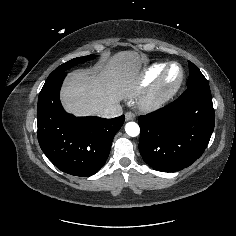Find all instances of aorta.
<instances>
[{"mask_svg": "<svg viewBox=\"0 0 236 236\" xmlns=\"http://www.w3.org/2000/svg\"><path fill=\"white\" fill-rule=\"evenodd\" d=\"M125 131L126 133L131 137H136L140 133L139 125L135 122H128L125 125Z\"/></svg>", "mask_w": 236, "mask_h": 236, "instance_id": "762f6f07", "label": "aorta"}]
</instances>
